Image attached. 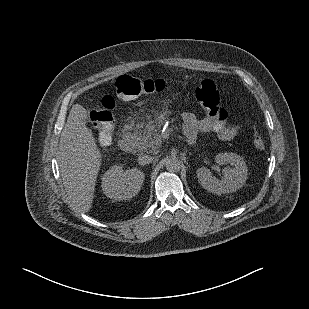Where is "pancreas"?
Instances as JSON below:
<instances>
[{
    "label": "pancreas",
    "mask_w": 309,
    "mask_h": 309,
    "mask_svg": "<svg viewBox=\"0 0 309 309\" xmlns=\"http://www.w3.org/2000/svg\"><path fill=\"white\" fill-rule=\"evenodd\" d=\"M162 136L156 130H143L137 134L136 143L139 150L157 152L162 144Z\"/></svg>",
    "instance_id": "pancreas-1"
}]
</instances>
